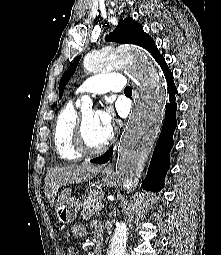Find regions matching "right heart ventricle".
Returning <instances> with one entry per match:
<instances>
[{
    "mask_svg": "<svg viewBox=\"0 0 221 255\" xmlns=\"http://www.w3.org/2000/svg\"><path fill=\"white\" fill-rule=\"evenodd\" d=\"M78 118L74 104L69 103L60 111L53 127V142L56 153L66 163L77 162L83 157L75 145Z\"/></svg>",
    "mask_w": 221,
    "mask_h": 255,
    "instance_id": "e07e8e85",
    "label": "right heart ventricle"
}]
</instances>
